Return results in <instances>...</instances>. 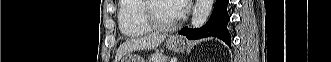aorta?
<instances>
[{
    "label": "aorta",
    "instance_id": "762f6f07",
    "mask_svg": "<svg viewBox=\"0 0 331 62\" xmlns=\"http://www.w3.org/2000/svg\"><path fill=\"white\" fill-rule=\"evenodd\" d=\"M214 2V0H196L191 19L193 28L204 25L212 11Z\"/></svg>",
    "mask_w": 331,
    "mask_h": 62
}]
</instances>
